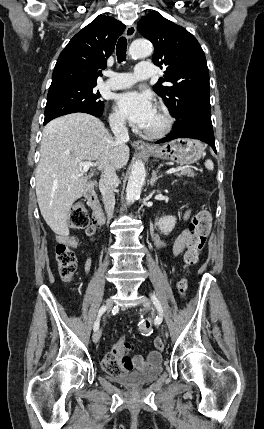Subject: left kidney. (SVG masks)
<instances>
[{"label": "left kidney", "mask_w": 264, "mask_h": 429, "mask_svg": "<svg viewBox=\"0 0 264 429\" xmlns=\"http://www.w3.org/2000/svg\"><path fill=\"white\" fill-rule=\"evenodd\" d=\"M175 224L176 218L174 216H163L155 223L165 235H168L174 229Z\"/></svg>", "instance_id": "5707ae66"}]
</instances>
